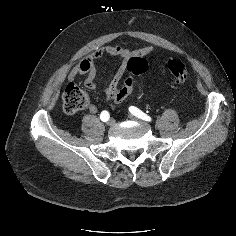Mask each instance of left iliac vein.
I'll return each instance as SVG.
<instances>
[{"label": "left iliac vein", "instance_id": "obj_1", "mask_svg": "<svg viewBox=\"0 0 236 236\" xmlns=\"http://www.w3.org/2000/svg\"><path fill=\"white\" fill-rule=\"evenodd\" d=\"M129 118H130L131 120H134V121H138V120H139L137 117H135V116L132 115V114L129 115Z\"/></svg>", "mask_w": 236, "mask_h": 236}]
</instances>
